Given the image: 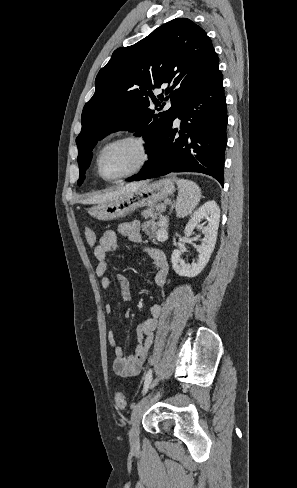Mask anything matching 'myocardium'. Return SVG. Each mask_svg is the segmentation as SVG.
Returning <instances> with one entry per match:
<instances>
[{
    "mask_svg": "<svg viewBox=\"0 0 297 488\" xmlns=\"http://www.w3.org/2000/svg\"><path fill=\"white\" fill-rule=\"evenodd\" d=\"M126 141L135 142L140 146V148L142 150L141 160L139 161V163L134 168H132L131 170H129L128 172H126L124 174H121V175L116 176V177H111V178L106 177L103 173V170H102V159L104 157V154L112 146L119 144L121 142H126ZM152 156H153V151H152L151 143L149 142V140L145 136H143L141 134H134V133L125 134V135L119 136L117 138H114L113 140L109 141L108 143H106L102 147V149L100 150L98 157H97V170H98L100 177L102 179H104L105 181L116 182V181H119V180H122V179H125L128 177H131L133 175H136L137 173L144 170L149 165V163L151 162Z\"/></svg>",
    "mask_w": 297,
    "mask_h": 488,
    "instance_id": "1",
    "label": "myocardium"
}]
</instances>
